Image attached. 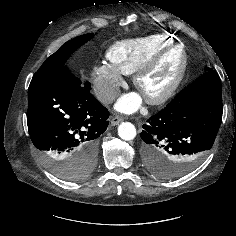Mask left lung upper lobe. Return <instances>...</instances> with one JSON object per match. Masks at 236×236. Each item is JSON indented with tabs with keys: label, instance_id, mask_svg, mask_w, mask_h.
Listing matches in <instances>:
<instances>
[{
	"label": "left lung upper lobe",
	"instance_id": "5c2ea615",
	"mask_svg": "<svg viewBox=\"0 0 236 236\" xmlns=\"http://www.w3.org/2000/svg\"><path fill=\"white\" fill-rule=\"evenodd\" d=\"M205 71H206V72H208V71H212V69L209 68V67H206V68H205Z\"/></svg>",
	"mask_w": 236,
	"mask_h": 236
}]
</instances>
